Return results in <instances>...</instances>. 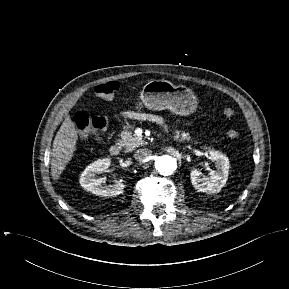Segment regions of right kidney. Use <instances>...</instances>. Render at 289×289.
<instances>
[{"label":"right kidney","mask_w":289,"mask_h":289,"mask_svg":"<svg viewBox=\"0 0 289 289\" xmlns=\"http://www.w3.org/2000/svg\"><path fill=\"white\" fill-rule=\"evenodd\" d=\"M110 159H99L85 168L80 177V185L87 191L100 196H116L123 193L125 185L117 182L114 185L103 186L102 179L96 178L97 173L106 171L110 166Z\"/></svg>","instance_id":"right-kidney-1"}]
</instances>
